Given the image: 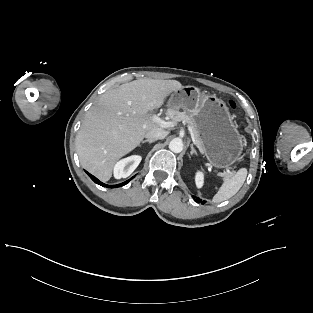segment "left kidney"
<instances>
[{
	"mask_svg": "<svg viewBox=\"0 0 313 313\" xmlns=\"http://www.w3.org/2000/svg\"><path fill=\"white\" fill-rule=\"evenodd\" d=\"M195 182L198 188H201L204 183V175L202 172H197L195 175Z\"/></svg>",
	"mask_w": 313,
	"mask_h": 313,
	"instance_id": "obj_1",
	"label": "left kidney"
}]
</instances>
